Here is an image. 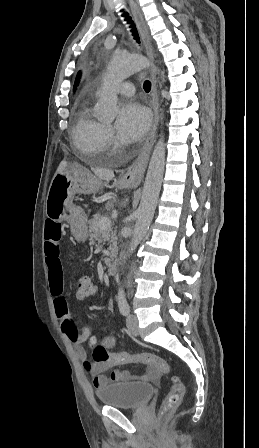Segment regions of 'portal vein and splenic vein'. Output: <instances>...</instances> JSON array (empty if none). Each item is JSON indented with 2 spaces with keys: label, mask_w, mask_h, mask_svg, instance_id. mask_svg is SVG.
<instances>
[{
  "label": "portal vein and splenic vein",
  "mask_w": 259,
  "mask_h": 448,
  "mask_svg": "<svg viewBox=\"0 0 259 448\" xmlns=\"http://www.w3.org/2000/svg\"><path fill=\"white\" fill-rule=\"evenodd\" d=\"M113 218H116V216H113ZM98 226L100 230H109L111 222L109 218H100Z\"/></svg>",
  "instance_id": "obj_1"
}]
</instances>
